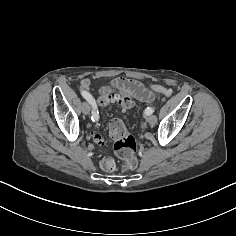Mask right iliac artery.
Listing matches in <instances>:
<instances>
[{
    "label": "right iliac artery",
    "instance_id": "obj_1",
    "mask_svg": "<svg viewBox=\"0 0 236 236\" xmlns=\"http://www.w3.org/2000/svg\"><path fill=\"white\" fill-rule=\"evenodd\" d=\"M81 95L92 105V108H93L92 117H91L92 121H98L99 116H98L97 106L95 104L94 99L88 92L84 90L81 91Z\"/></svg>",
    "mask_w": 236,
    "mask_h": 236
}]
</instances>
